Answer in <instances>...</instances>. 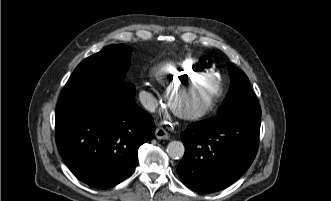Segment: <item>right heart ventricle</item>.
I'll return each mask as SVG.
<instances>
[{
    "instance_id": "e07e8e85",
    "label": "right heart ventricle",
    "mask_w": 331,
    "mask_h": 201,
    "mask_svg": "<svg viewBox=\"0 0 331 201\" xmlns=\"http://www.w3.org/2000/svg\"><path fill=\"white\" fill-rule=\"evenodd\" d=\"M200 74H211L199 60L182 59L165 61L153 69L154 79L160 83H167L175 79H183Z\"/></svg>"
}]
</instances>
